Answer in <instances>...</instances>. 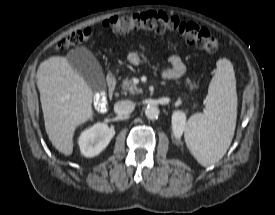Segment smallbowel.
<instances>
[{
	"instance_id": "c3829d8e",
	"label": "small bowel",
	"mask_w": 275,
	"mask_h": 215,
	"mask_svg": "<svg viewBox=\"0 0 275 215\" xmlns=\"http://www.w3.org/2000/svg\"><path fill=\"white\" fill-rule=\"evenodd\" d=\"M126 58L131 63H137L139 57L132 52H125ZM170 67L166 68L163 72V77L167 80L178 79L185 73V65L178 55H172L169 58Z\"/></svg>"
}]
</instances>
